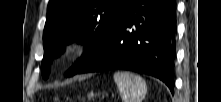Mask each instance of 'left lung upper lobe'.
I'll return each mask as SVG.
<instances>
[{
	"label": "left lung upper lobe",
	"instance_id": "5c2ea615",
	"mask_svg": "<svg viewBox=\"0 0 221 102\" xmlns=\"http://www.w3.org/2000/svg\"><path fill=\"white\" fill-rule=\"evenodd\" d=\"M127 1L49 0L43 32V78H48L49 65L64 46L78 40L85 44V53L65 76L76 74L109 38Z\"/></svg>",
	"mask_w": 221,
	"mask_h": 102
}]
</instances>
